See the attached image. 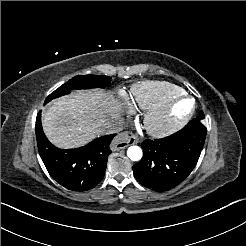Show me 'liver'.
<instances>
[{
	"label": "liver",
	"instance_id": "1",
	"mask_svg": "<svg viewBox=\"0 0 246 246\" xmlns=\"http://www.w3.org/2000/svg\"><path fill=\"white\" fill-rule=\"evenodd\" d=\"M123 103L102 90L76 91L56 100L43 114V129L57 147H79L122 122Z\"/></svg>",
	"mask_w": 246,
	"mask_h": 246
}]
</instances>
